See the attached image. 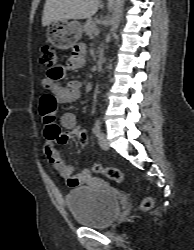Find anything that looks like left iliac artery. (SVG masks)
<instances>
[{"label":"left iliac artery","instance_id":"obj_1","mask_svg":"<svg viewBox=\"0 0 194 250\" xmlns=\"http://www.w3.org/2000/svg\"><path fill=\"white\" fill-rule=\"evenodd\" d=\"M100 132H101V120L100 118H97L94 124L93 133L96 137H99Z\"/></svg>","mask_w":194,"mask_h":250}]
</instances>
